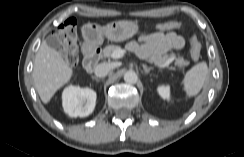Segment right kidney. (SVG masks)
<instances>
[{
	"label": "right kidney",
	"instance_id": "1",
	"mask_svg": "<svg viewBox=\"0 0 244 157\" xmlns=\"http://www.w3.org/2000/svg\"><path fill=\"white\" fill-rule=\"evenodd\" d=\"M96 92L90 88L70 85L62 93V105L70 117L90 115L96 104Z\"/></svg>",
	"mask_w": 244,
	"mask_h": 157
}]
</instances>
